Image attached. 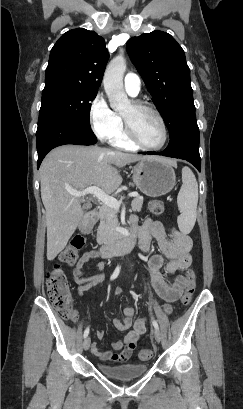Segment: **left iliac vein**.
Here are the masks:
<instances>
[{
	"label": "left iliac vein",
	"mask_w": 243,
	"mask_h": 409,
	"mask_svg": "<svg viewBox=\"0 0 243 409\" xmlns=\"http://www.w3.org/2000/svg\"><path fill=\"white\" fill-rule=\"evenodd\" d=\"M154 337L157 342H160L162 339L161 333L158 329L154 330Z\"/></svg>",
	"instance_id": "obj_1"
}]
</instances>
